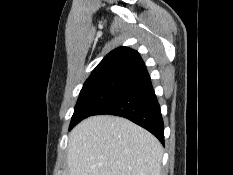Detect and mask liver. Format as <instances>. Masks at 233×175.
<instances>
[{
  "instance_id": "6515ba94",
  "label": "liver",
  "mask_w": 233,
  "mask_h": 175,
  "mask_svg": "<svg viewBox=\"0 0 233 175\" xmlns=\"http://www.w3.org/2000/svg\"><path fill=\"white\" fill-rule=\"evenodd\" d=\"M162 156L155 136L122 117L92 116L69 134V175H160Z\"/></svg>"
}]
</instances>
